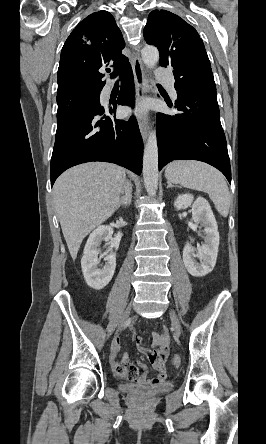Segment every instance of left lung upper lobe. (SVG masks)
<instances>
[{
    "mask_svg": "<svg viewBox=\"0 0 266 444\" xmlns=\"http://www.w3.org/2000/svg\"><path fill=\"white\" fill-rule=\"evenodd\" d=\"M143 33L158 48L160 65L173 67L176 91H216L203 41L191 25L169 11L154 10Z\"/></svg>",
    "mask_w": 266,
    "mask_h": 444,
    "instance_id": "obj_1",
    "label": "left lung upper lobe"
}]
</instances>
